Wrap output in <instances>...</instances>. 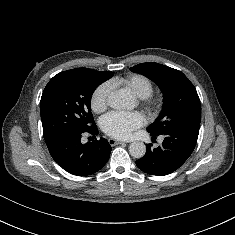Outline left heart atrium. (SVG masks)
Here are the masks:
<instances>
[{
    "label": "left heart atrium",
    "mask_w": 235,
    "mask_h": 235,
    "mask_svg": "<svg viewBox=\"0 0 235 235\" xmlns=\"http://www.w3.org/2000/svg\"><path fill=\"white\" fill-rule=\"evenodd\" d=\"M145 123L141 112H110L101 119V128L109 136L127 139Z\"/></svg>",
    "instance_id": "obj_1"
}]
</instances>
